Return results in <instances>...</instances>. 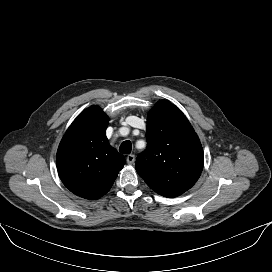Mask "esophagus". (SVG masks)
I'll list each match as a JSON object with an SVG mask.
<instances>
[{
    "mask_svg": "<svg viewBox=\"0 0 272 272\" xmlns=\"http://www.w3.org/2000/svg\"><path fill=\"white\" fill-rule=\"evenodd\" d=\"M126 160H127L128 164L133 165L134 162H135V156L130 154V155L127 156Z\"/></svg>",
    "mask_w": 272,
    "mask_h": 272,
    "instance_id": "34e87169",
    "label": "esophagus"
}]
</instances>
